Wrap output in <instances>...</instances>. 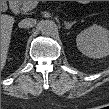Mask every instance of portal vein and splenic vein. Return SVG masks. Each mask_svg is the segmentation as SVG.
<instances>
[{"label": "portal vein and splenic vein", "mask_w": 109, "mask_h": 109, "mask_svg": "<svg viewBox=\"0 0 109 109\" xmlns=\"http://www.w3.org/2000/svg\"><path fill=\"white\" fill-rule=\"evenodd\" d=\"M39 1H26L23 4L22 10L27 12L34 9L38 5Z\"/></svg>", "instance_id": "1"}]
</instances>
